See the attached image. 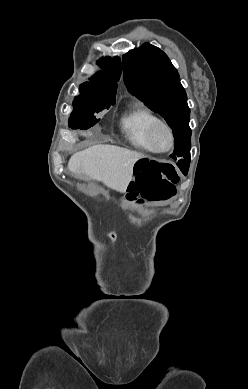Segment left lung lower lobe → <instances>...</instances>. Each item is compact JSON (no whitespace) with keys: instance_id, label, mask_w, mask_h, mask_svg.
Returning a JSON list of instances; mask_svg holds the SVG:
<instances>
[{"instance_id":"obj_1","label":"left lung lower lobe","mask_w":248,"mask_h":389,"mask_svg":"<svg viewBox=\"0 0 248 389\" xmlns=\"http://www.w3.org/2000/svg\"><path fill=\"white\" fill-rule=\"evenodd\" d=\"M189 163H190V155H185L177 162L178 167L180 168V170L184 175H187L189 169Z\"/></svg>"}]
</instances>
